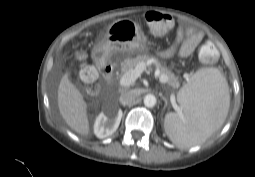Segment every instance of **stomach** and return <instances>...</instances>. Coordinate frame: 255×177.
<instances>
[{
    "label": "stomach",
    "mask_w": 255,
    "mask_h": 177,
    "mask_svg": "<svg viewBox=\"0 0 255 177\" xmlns=\"http://www.w3.org/2000/svg\"><path fill=\"white\" fill-rule=\"evenodd\" d=\"M95 50L100 60H109L115 57L144 54L148 52L149 44L147 37L136 22L130 19H119L108 27Z\"/></svg>",
    "instance_id": "obj_1"
}]
</instances>
